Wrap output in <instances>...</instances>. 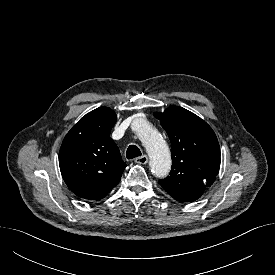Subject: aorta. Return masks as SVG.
Masks as SVG:
<instances>
[{
    "label": "aorta",
    "instance_id": "aorta-1",
    "mask_svg": "<svg viewBox=\"0 0 275 275\" xmlns=\"http://www.w3.org/2000/svg\"><path fill=\"white\" fill-rule=\"evenodd\" d=\"M133 125L148 153L151 171L157 177L166 176L171 168V156L162 135L143 118L136 119Z\"/></svg>",
    "mask_w": 275,
    "mask_h": 275
}]
</instances>
